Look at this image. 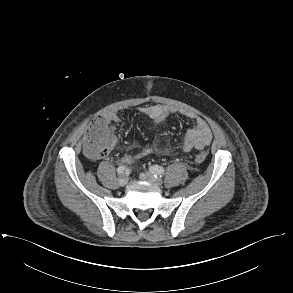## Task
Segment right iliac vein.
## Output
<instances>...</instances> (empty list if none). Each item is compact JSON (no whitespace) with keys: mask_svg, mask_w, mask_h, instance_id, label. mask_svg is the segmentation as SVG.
<instances>
[{"mask_svg":"<svg viewBox=\"0 0 293 293\" xmlns=\"http://www.w3.org/2000/svg\"><path fill=\"white\" fill-rule=\"evenodd\" d=\"M118 183L120 186H125L128 183V177L126 175L119 176Z\"/></svg>","mask_w":293,"mask_h":293,"instance_id":"obj_1","label":"right iliac vein"}]
</instances>
